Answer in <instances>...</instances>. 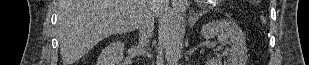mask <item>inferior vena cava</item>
Wrapping results in <instances>:
<instances>
[{
  "instance_id": "602c4592",
  "label": "inferior vena cava",
  "mask_w": 309,
  "mask_h": 65,
  "mask_svg": "<svg viewBox=\"0 0 309 65\" xmlns=\"http://www.w3.org/2000/svg\"><path fill=\"white\" fill-rule=\"evenodd\" d=\"M156 2H162V0H152V4H155ZM154 19L155 14L153 9L150 8L144 12L139 22V48L142 53L146 52V48L149 45L154 30Z\"/></svg>"
}]
</instances>
